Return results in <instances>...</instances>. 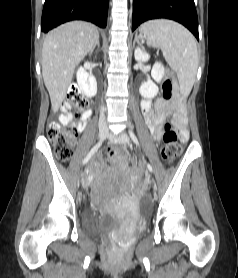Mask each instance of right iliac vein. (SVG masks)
Masks as SVG:
<instances>
[{"label":"right iliac vein","mask_w":238,"mask_h":278,"mask_svg":"<svg viewBox=\"0 0 238 278\" xmlns=\"http://www.w3.org/2000/svg\"><path fill=\"white\" fill-rule=\"evenodd\" d=\"M108 135V129L106 126H100L99 127V133H98V137H99V141L102 142L106 139ZM76 186L77 189H80V179H76Z\"/></svg>","instance_id":"right-iliac-vein-1"}]
</instances>
